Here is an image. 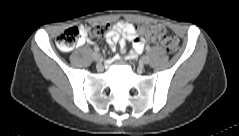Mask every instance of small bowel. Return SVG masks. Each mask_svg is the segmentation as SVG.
<instances>
[{"label": "small bowel", "instance_id": "small-bowel-1", "mask_svg": "<svg viewBox=\"0 0 239 136\" xmlns=\"http://www.w3.org/2000/svg\"><path fill=\"white\" fill-rule=\"evenodd\" d=\"M107 43L115 49L119 43L122 52L131 59H135L144 49L145 40L137 35L136 27L130 22L122 19L113 24L110 31L105 36ZM126 42L132 43L133 50H126ZM80 43H92L91 38L83 34Z\"/></svg>", "mask_w": 239, "mask_h": 136}]
</instances>
